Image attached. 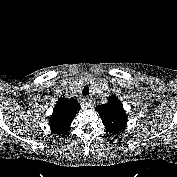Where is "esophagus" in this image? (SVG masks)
Returning <instances> with one entry per match:
<instances>
[{"mask_svg": "<svg viewBox=\"0 0 177 177\" xmlns=\"http://www.w3.org/2000/svg\"><path fill=\"white\" fill-rule=\"evenodd\" d=\"M86 107H91L94 103L91 97H87L84 99Z\"/></svg>", "mask_w": 177, "mask_h": 177, "instance_id": "esophagus-1", "label": "esophagus"}]
</instances>
